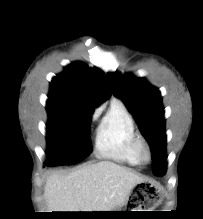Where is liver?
I'll return each mask as SVG.
<instances>
[{
	"mask_svg": "<svg viewBox=\"0 0 203 219\" xmlns=\"http://www.w3.org/2000/svg\"><path fill=\"white\" fill-rule=\"evenodd\" d=\"M144 178L111 161H100L69 174L52 172L44 186L50 212L112 211L123 206Z\"/></svg>",
	"mask_w": 203,
	"mask_h": 219,
	"instance_id": "6515ba94",
	"label": "liver"
}]
</instances>
